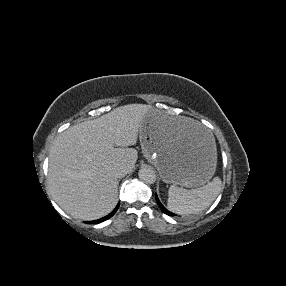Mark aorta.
I'll list each match as a JSON object with an SVG mask.
<instances>
[{
    "instance_id": "762f6f07",
    "label": "aorta",
    "mask_w": 286,
    "mask_h": 286,
    "mask_svg": "<svg viewBox=\"0 0 286 286\" xmlns=\"http://www.w3.org/2000/svg\"><path fill=\"white\" fill-rule=\"evenodd\" d=\"M138 176L139 179L146 184H153L156 181L155 171L149 167H141Z\"/></svg>"
}]
</instances>
